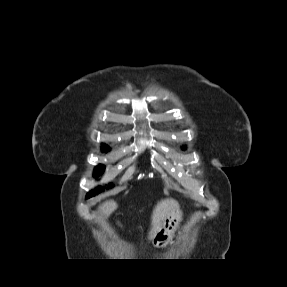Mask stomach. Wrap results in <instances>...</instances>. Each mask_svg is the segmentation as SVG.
I'll return each mask as SVG.
<instances>
[{
    "label": "stomach",
    "instance_id": "obj_1",
    "mask_svg": "<svg viewBox=\"0 0 287 287\" xmlns=\"http://www.w3.org/2000/svg\"><path fill=\"white\" fill-rule=\"evenodd\" d=\"M181 220L182 216L180 212L168 215L163 221L161 228L156 232L152 239L153 246L157 248L167 246L172 241Z\"/></svg>",
    "mask_w": 287,
    "mask_h": 287
}]
</instances>
